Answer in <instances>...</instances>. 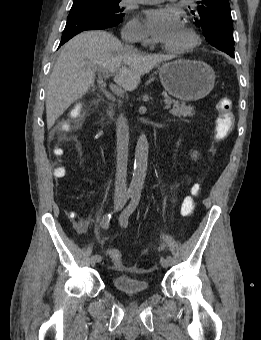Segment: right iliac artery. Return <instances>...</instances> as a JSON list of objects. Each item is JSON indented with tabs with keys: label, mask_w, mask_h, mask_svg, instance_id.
Here are the masks:
<instances>
[{
	"label": "right iliac artery",
	"mask_w": 261,
	"mask_h": 340,
	"mask_svg": "<svg viewBox=\"0 0 261 340\" xmlns=\"http://www.w3.org/2000/svg\"><path fill=\"white\" fill-rule=\"evenodd\" d=\"M130 196H131L130 194H127L126 198H125V201L127 199H129ZM112 215H113V212L106 213L105 215H103V217H102V219L100 221V225H101V227L103 229H108L109 228V224H110ZM94 257H95V260H96L97 263H100L102 261L101 255L96 254V255H94Z\"/></svg>",
	"instance_id": "1"
}]
</instances>
